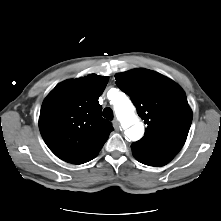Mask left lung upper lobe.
Returning a JSON list of instances; mask_svg holds the SVG:
<instances>
[{
    "mask_svg": "<svg viewBox=\"0 0 221 221\" xmlns=\"http://www.w3.org/2000/svg\"><path fill=\"white\" fill-rule=\"evenodd\" d=\"M115 79L147 125L144 137L131 148L159 165L167 164L181 150L191 126L185 92L171 79L146 69L118 73Z\"/></svg>",
    "mask_w": 221,
    "mask_h": 221,
    "instance_id": "obj_1",
    "label": "left lung upper lobe"
}]
</instances>
